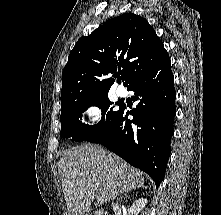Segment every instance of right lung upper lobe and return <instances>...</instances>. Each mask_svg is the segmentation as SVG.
<instances>
[{
    "instance_id": "1",
    "label": "right lung upper lobe",
    "mask_w": 221,
    "mask_h": 215,
    "mask_svg": "<svg viewBox=\"0 0 221 215\" xmlns=\"http://www.w3.org/2000/svg\"><path fill=\"white\" fill-rule=\"evenodd\" d=\"M168 52L146 19L126 13L81 37L62 73L61 106L106 94L114 83L106 78L123 69L128 88L160 65Z\"/></svg>"
}]
</instances>
